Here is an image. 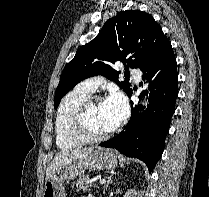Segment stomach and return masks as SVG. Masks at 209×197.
<instances>
[{
	"label": "stomach",
	"mask_w": 209,
	"mask_h": 197,
	"mask_svg": "<svg viewBox=\"0 0 209 197\" xmlns=\"http://www.w3.org/2000/svg\"><path fill=\"white\" fill-rule=\"evenodd\" d=\"M117 166V155L109 150L103 148H96L92 152L68 166L50 179L46 180L43 197H66L63 182L74 179L76 176L84 175L86 171L90 170H109Z\"/></svg>",
	"instance_id": "1"
}]
</instances>
